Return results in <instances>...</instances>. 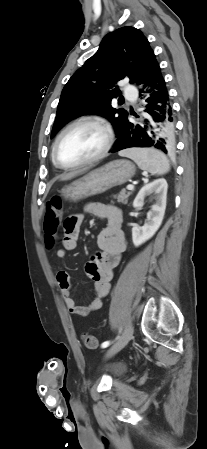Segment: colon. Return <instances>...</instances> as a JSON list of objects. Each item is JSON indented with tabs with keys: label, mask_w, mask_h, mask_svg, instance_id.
<instances>
[{
	"label": "colon",
	"mask_w": 207,
	"mask_h": 449,
	"mask_svg": "<svg viewBox=\"0 0 207 449\" xmlns=\"http://www.w3.org/2000/svg\"><path fill=\"white\" fill-rule=\"evenodd\" d=\"M62 219V203L58 196L52 197L46 204V216L44 219V233L48 244H53ZM83 342L86 347L94 349L98 346L95 336L90 334L83 335Z\"/></svg>",
	"instance_id": "1"
}]
</instances>
